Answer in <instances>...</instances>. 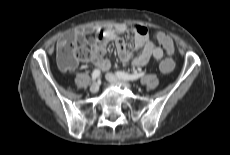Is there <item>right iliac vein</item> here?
<instances>
[{
  "mask_svg": "<svg viewBox=\"0 0 230 155\" xmlns=\"http://www.w3.org/2000/svg\"><path fill=\"white\" fill-rule=\"evenodd\" d=\"M98 90H99V84L98 83L95 82L90 86V91L92 93H96V92H98Z\"/></svg>",
  "mask_w": 230,
  "mask_h": 155,
  "instance_id": "obj_1",
  "label": "right iliac vein"
}]
</instances>
